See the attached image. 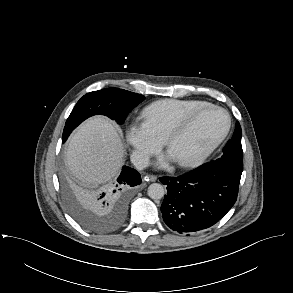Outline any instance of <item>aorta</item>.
I'll use <instances>...</instances> for the list:
<instances>
[{
  "label": "aorta",
  "instance_id": "1",
  "mask_svg": "<svg viewBox=\"0 0 293 293\" xmlns=\"http://www.w3.org/2000/svg\"><path fill=\"white\" fill-rule=\"evenodd\" d=\"M147 193L151 199L157 200L164 197L165 189L163 185L159 183H153L148 187Z\"/></svg>",
  "mask_w": 293,
  "mask_h": 293
}]
</instances>
